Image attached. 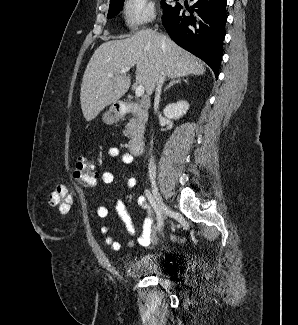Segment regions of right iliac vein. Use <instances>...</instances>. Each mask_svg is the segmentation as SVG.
<instances>
[{"instance_id":"right-iliac-vein-1","label":"right iliac vein","mask_w":298,"mask_h":325,"mask_svg":"<svg viewBox=\"0 0 298 325\" xmlns=\"http://www.w3.org/2000/svg\"><path fill=\"white\" fill-rule=\"evenodd\" d=\"M152 197L161 214L165 211V204L154 180H152Z\"/></svg>"}]
</instances>
